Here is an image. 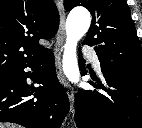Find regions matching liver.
I'll return each instance as SVG.
<instances>
[{
  "mask_svg": "<svg viewBox=\"0 0 142 128\" xmlns=\"http://www.w3.org/2000/svg\"><path fill=\"white\" fill-rule=\"evenodd\" d=\"M0 128H20L16 125H10V124H3V123H0Z\"/></svg>",
  "mask_w": 142,
  "mask_h": 128,
  "instance_id": "obj_1",
  "label": "liver"
}]
</instances>
